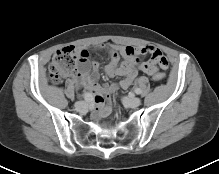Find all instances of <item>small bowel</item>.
I'll list each match as a JSON object with an SVG mask.
<instances>
[{
	"instance_id": "small-bowel-1",
	"label": "small bowel",
	"mask_w": 219,
	"mask_h": 174,
	"mask_svg": "<svg viewBox=\"0 0 219 174\" xmlns=\"http://www.w3.org/2000/svg\"><path fill=\"white\" fill-rule=\"evenodd\" d=\"M110 56V63L106 66L105 72L108 76L115 75L124 76L118 82H111L108 86H100L96 80L98 77L99 63L87 61L88 53L86 50H77L81 56V63L78 70V75L71 79V83L80 84L84 89L88 90L93 100L94 117H105L110 113V108L107 106L106 97L112 92L118 91L119 87L128 88L138 75L137 65L139 56L149 54L151 62L143 64L141 70L153 75L157 68L167 69L168 60L159 49L154 46H132V45H116L109 44L102 47ZM123 58V62L119 63V59Z\"/></svg>"
}]
</instances>
